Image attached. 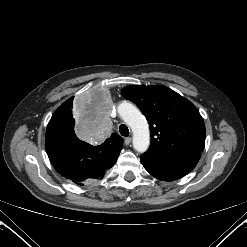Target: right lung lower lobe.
I'll list each match as a JSON object with an SVG mask.
<instances>
[{"mask_svg": "<svg viewBox=\"0 0 247 247\" xmlns=\"http://www.w3.org/2000/svg\"><path fill=\"white\" fill-rule=\"evenodd\" d=\"M45 142L56 171L78 185L102 179L122 149L104 143L92 146L79 140L73 129L56 124H48Z\"/></svg>", "mask_w": 247, "mask_h": 247, "instance_id": "obj_1", "label": "right lung lower lobe"}]
</instances>
